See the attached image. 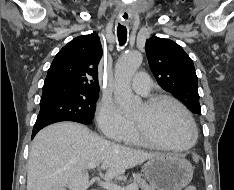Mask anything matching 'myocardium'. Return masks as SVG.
I'll use <instances>...</instances> for the list:
<instances>
[{
	"instance_id": "myocardium-1",
	"label": "myocardium",
	"mask_w": 234,
	"mask_h": 190,
	"mask_svg": "<svg viewBox=\"0 0 234 190\" xmlns=\"http://www.w3.org/2000/svg\"><path fill=\"white\" fill-rule=\"evenodd\" d=\"M164 102H169L177 106L183 114L186 116L187 120L190 123L191 129H192V139L191 141L183 146H173V145H168L159 142L156 140L149 130L147 129L146 125L140 121L134 120L133 119V124L136 129L138 137L147 145L156 147V148H161L165 150H172V151H186L191 149L197 142L198 139V130H197V125L196 122L190 113V111L187 109V107L181 103L179 100L176 98L170 96V95H165V94H160L153 96L149 99H147L144 103L146 109L151 112L153 111L158 105Z\"/></svg>"
}]
</instances>
